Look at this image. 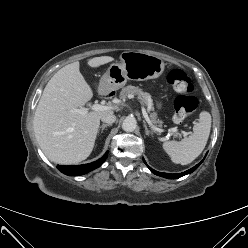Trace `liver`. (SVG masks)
<instances>
[{
    "mask_svg": "<svg viewBox=\"0 0 248 248\" xmlns=\"http://www.w3.org/2000/svg\"><path fill=\"white\" fill-rule=\"evenodd\" d=\"M110 56L95 57L88 61L92 68L113 61ZM113 90L99 84L97 92L108 95ZM93 97L90 86L79 70V62L60 69L47 83L34 115V132L46 157L59 164H75L92 152L104 115L117 109L90 111L85 115L72 113Z\"/></svg>",
    "mask_w": 248,
    "mask_h": 248,
    "instance_id": "obj_1",
    "label": "liver"
}]
</instances>
